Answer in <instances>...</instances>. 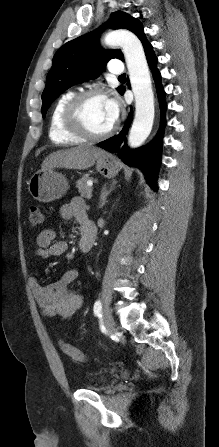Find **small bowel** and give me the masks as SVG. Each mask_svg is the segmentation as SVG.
Returning a JSON list of instances; mask_svg holds the SVG:
<instances>
[{"label":"small bowel","instance_id":"c3829d8e","mask_svg":"<svg viewBox=\"0 0 219 447\" xmlns=\"http://www.w3.org/2000/svg\"><path fill=\"white\" fill-rule=\"evenodd\" d=\"M60 217L63 221H76L80 224L86 217L85 203L79 198H73L60 208ZM56 232L50 229L43 230L37 237L38 248L36 256L51 258L63 256L68 250L65 241L55 240ZM82 238L79 242L81 250ZM80 271L76 268L66 271L59 279L49 286H42L36 277L29 279L33 296L40 307L43 316L67 320L82 307L84 297L81 293L71 290L70 284L78 279Z\"/></svg>","mask_w":219,"mask_h":447}]
</instances>
